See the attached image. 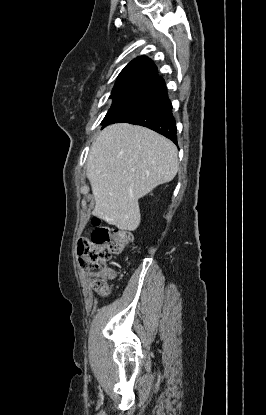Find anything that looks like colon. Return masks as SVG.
I'll list each match as a JSON object with an SVG mask.
<instances>
[{"mask_svg":"<svg viewBox=\"0 0 266 415\" xmlns=\"http://www.w3.org/2000/svg\"><path fill=\"white\" fill-rule=\"evenodd\" d=\"M94 229L90 238L80 239L78 255L83 275L90 281L94 290L101 296L109 293L107 278L110 277L107 262L120 254L131 242L132 234L123 229H113L101 225L99 219H93Z\"/></svg>","mask_w":266,"mask_h":415,"instance_id":"1","label":"colon"}]
</instances>
